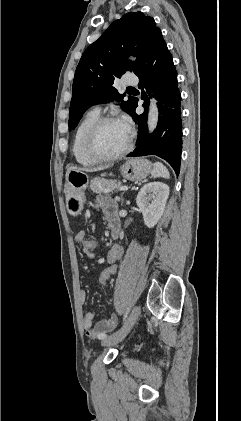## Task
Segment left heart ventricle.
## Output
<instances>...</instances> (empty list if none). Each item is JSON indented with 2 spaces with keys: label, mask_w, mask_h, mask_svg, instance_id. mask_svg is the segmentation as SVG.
Instances as JSON below:
<instances>
[{
  "label": "left heart ventricle",
  "mask_w": 241,
  "mask_h": 421,
  "mask_svg": "<svg viewBox=\"0 0 241 421\" xmlns=\"http://www.w3.org/2000/svg\"><path fill=\"white\" fill-rule=\"evenodd\" d=\"M129 130L119 121L105 124L97 136V148L104 154H114L124 148Z\"/></svg>",
  "instance_id": "left-heart-ventricle-1"
}]
</instances>
